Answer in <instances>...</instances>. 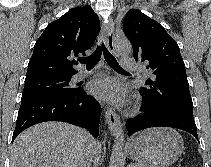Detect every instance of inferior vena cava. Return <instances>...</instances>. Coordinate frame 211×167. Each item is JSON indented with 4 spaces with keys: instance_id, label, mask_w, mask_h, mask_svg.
<instances>
[{
    "instance_id": "inferior-vena-cava-1",
    "label": "inferior vena cava",
    "mask_w": 211,
    "mask_h": 167,
    "mask_svg": "<svg viewBox=\"0 0 211 167\" xmlns=\"http://www.w3.org/2000/svg\"><path fill=\"white\" fill-rule=\"evenodd\" d=\"M91 155H92L91 150L88 151V152L85 154V159H84L83 167H89L90 161H91Z\"/></svg>"
}]
</instances>
